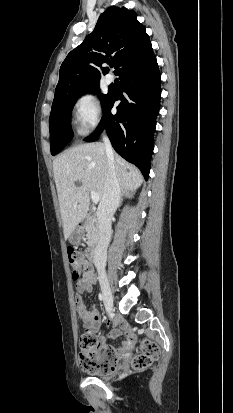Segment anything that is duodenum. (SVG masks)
<instances>
[{
  "mask_svg": "<svg viewBox=\"0 0 233 413\" xmlns=\"http://www.w3.org/2000/svg\"><path fill=\"white\" fill-rule=\"evenodd\" d=\"M78 226H79L80 228H82V227L84 226V222H83V221H80V222L78 223ZM95 256H96V249H95V247H92V248L89 250V252H88V257H89L90 260L94 261V260H95Z\"/></svg>",
  "mask_w": 233,
  "mask_h": 413,
  "instance_id": "1",
  "label": "duodenum"
}]
</instances>
